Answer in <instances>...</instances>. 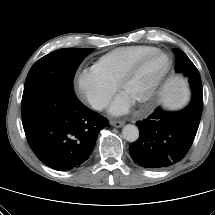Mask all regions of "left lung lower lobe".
<instances>
[{
  "label": "left lung lower lobe",
  "mask_w": 215,
  "mask_h": 215,
  "mask_svg": "<svg viewBox=\"0 0 215 215\" xmlns=\"http://www.w3.org/2000/svg\"><path fill=\"white\" fill-rule=\"evenodd\" d=\"M203 96L192 94L181 111L157 107L146 119L137 121L139 139L129 146L132 159L142 167L165 168L179 162L190 149L201 119Z\"/></svg>",
  "instance_id": "obj_1"
}]
</instances>
